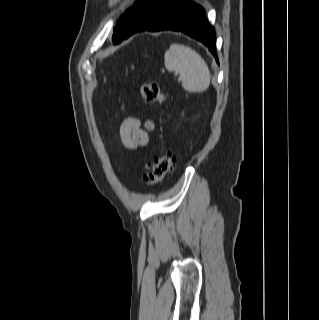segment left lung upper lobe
I'll list each match as a JSON object with an SVG mask.
<instances>
[{
    "mask_svg": "<svg viewBox=\"0 0 319 320\" xmlns=\"http://www.w3.org/2000/svg\"><path fill=\"white\" fill-rule=\"evenodd\" d=\"M158 0H138L134 6L126 10V12L118 20L114 28L113 42L120 43L134 25V23Z\"/></svg>",
    "mask_w": 319,
    "mask_h": 320,
    "instance_id": "left-lung-upper-lobe-1",
    "label": "left lung upper lobe"
}]
</instances>
